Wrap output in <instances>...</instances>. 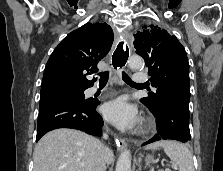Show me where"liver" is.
I'll return each mask as SVG.
<instances>
[{"instance_id": "1", "label": "liver", "mask_w": 223, "mask_h": 171, "mask_svg": "<svg viewBox=\"0 0 223 171\" xmlns=\"http://www.w3.org/2000/svg\"><path fill=\"white\" fill-rule=\"evenodd\" d=\"M99 140L78 130L60 128L48 132L38 142L33 171H92ZM152 144L148 149H157ZM106 163L114 161L111 149L105 148Z\"/></svg>"}]
</instances>
